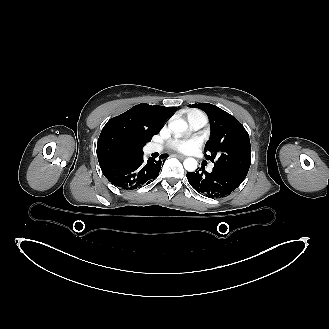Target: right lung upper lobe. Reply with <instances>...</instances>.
I'll return each instance as SVG.
<instances>
[{
	"label": "right lung upper lobe",
	"instance_id": "right-lung-upper-lobe-1",
	"mask_svg": "<svg viewBox=\"0 0 329 329\" xmlns=\"http://www.w3.org/2000/svg\"><path fill=\"white\" fill-rule=\"evenodd\" d=\"M176 107L138 104L125 113L110 119L103 127L97 142L99 165L127 160L143 153Z\"/></svg>",
	"mask_w": 329,
	"mask_h": 329
}]
</instances>
